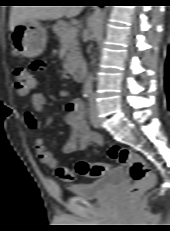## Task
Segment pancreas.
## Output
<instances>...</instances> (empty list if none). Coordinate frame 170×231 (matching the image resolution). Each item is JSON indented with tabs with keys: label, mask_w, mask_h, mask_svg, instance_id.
Returning <instances> with one entry per match:
<instances>
[{
	"label": "pancreas",
	"mask_w": 170,
	"mask_h": 231,
	"mask_svg": "<svg viewBox=\"0 0 170 231\" xmlns=\"http://www.w3.org/2000/svg\"><path fill=\"white\" fill-rule=\"evenodd\" d=\"M71 27L72 25L65 21H58L52 27L53 32L59 37L60 41L67 43V54L64 62V66L66 68L74 65V63H76L77 59L80 57V47L77 40V34L68 38L67 40L64 38L66 31Z\"/></svg>",
	"instance_id": "obj_1"
}]
</instances>
